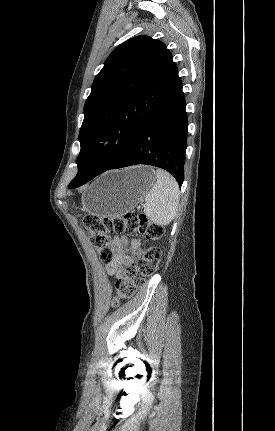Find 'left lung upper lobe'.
<instances>
[{
	"instance_id": "1",
	"label": "left lung upper lobe",
	"mask_w": 275,
	"mask_h": 431,
	"mask_svg": "<svg viewBox=\"0 0 275 431\" xmlns=\"http://www.w3.org/2000/svg\"><path fill=\"white\" fill-rule=\"evenodd\" d=\"M177 73L165 44L149 36L131 38L113 50L84 105L77 174L93 175L119 158Z\"/></svg>"
}]
</instances>
